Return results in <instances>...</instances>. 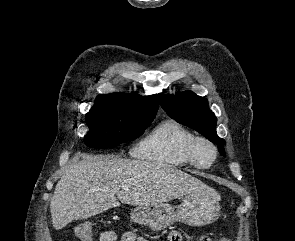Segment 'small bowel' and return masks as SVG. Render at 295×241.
<instances>
[{"label":"small bowel","instance_id":"c3829d8e","mask_svg":"<svg viewBox=\"0 0 295 241\" xmlns=\"http://www.w3.org/2000/svg\"><path fill=\"white\" fill-rule=\"evenodd\" d=\"M179 234L173 231L169 234L168 241H173L174 236ZM118 238L114 232L107 231L101 234L100 241H117ZM120 241H147L142 236H140L136 231H128L123 234ZM198 241H209L206 237H201Z\"/></svg>","mask_w":295,"mask_h":241}]
</instances>
